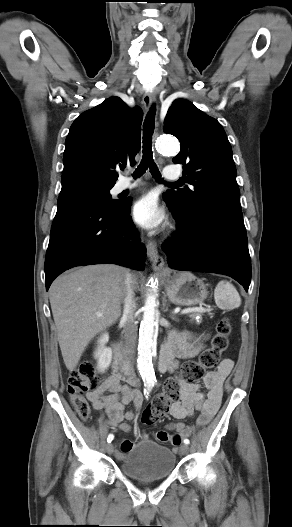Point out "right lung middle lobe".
Instances as JSON below:
<instances>
[{
    "instance_id": "1",
    "label": "right lung middle lobe",
    "mask_w": 292,
    "mask_h": 527,
    "mask_svg": "<svg viewBox=\"0 0 292 527\" xmlns=\"http://www.w3.org/2000/svg\"><path fill=\"white\" fill-rule=\"evenodd\" d=\"M114 184H105L91 178H73L62 182L59 199L67 196L89 198L104 206H117L119 200H113L109 190Z\"/></svg>"
}]
</instances>
